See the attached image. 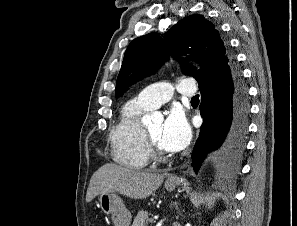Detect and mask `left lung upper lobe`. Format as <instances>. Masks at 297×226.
Here are the masks:
<instances>
[{"label": "left lung upper lobe", "instance_id": "left-lung-upper-lobe-1", "mask_svg": "<svg viewBox=\"0 0 297 226\" xmlns=\"http://www.w3.org/2000/svg\"><path fill=\"white\" fill-rule=\"evenodd\" d=\"M197 60L201 71L184 64L183 73L203 81L230 69L232 57L214 25L202 15L180 20L164 38L150 33L134 39L126 49L117 78L115 96L120 97L129 86L153 74L169 55H187Z\"/></svg>", "mask_w": 297, "mask_h": 226}]
</instances>
